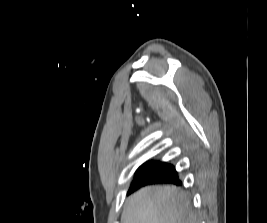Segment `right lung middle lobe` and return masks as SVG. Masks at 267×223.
Returning a JSON list of instances; mask_svg holds the SVG:
<instances>
[{
    "label": "right lung middle lobe",
    "mask_w": 267,
    "mask_h": 223,
    "mask_svg": "<svg viewBox=\"0 0 267 223\" xmlns=\"http://www.w3.org/2000/svg\"><path fill=\"white\" fill-rule=\"evenodd\" d=\"M175 168L174 166H172L171 164H167L164 162H147L145 164H143L136 172L137 173H141V172H145V171H150V172H160V173H171L172 171H174Z\"/></svg>",
    "instance_id": "obj_1"
}]
</instances>
